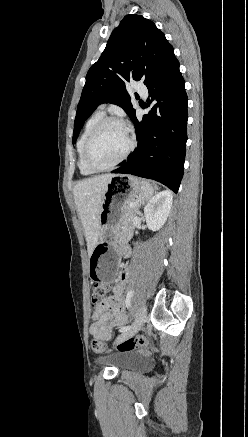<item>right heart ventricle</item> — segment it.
Here are the masks:
<instances>
[{
    "label": "right heart ventricle",
    "mask_w": 248,
    "mask_h": 437,
    "mask_svg": "<svg viewBox=\"0 0 248 437\" xmlns=\"http://www.w3.org/2000/svg\"><path fill=\"white\" fill-rule=\"evenodd\" d=\"M104 117V114L102 111L98 110L95 111L85 122L82 132L80 134V137L78 139L77 142V152H78V168L79 171L82 175L85 176H89L94 174L95 172L90 170L84 161V156H83V150H84V145H85V141L88 137V135L90 134L91 130L93 129V127L96 125V123L101 120Z\"/></svg>",
    "instance_id": "e07e8e85"
}]
</instances>
